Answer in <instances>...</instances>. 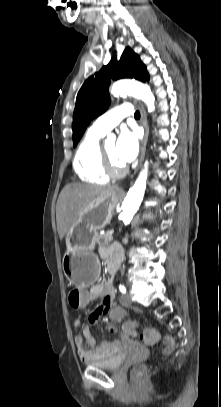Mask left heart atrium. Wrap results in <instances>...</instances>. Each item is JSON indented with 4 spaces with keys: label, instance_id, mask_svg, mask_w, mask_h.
I'll use <instances>...</instances> for the list:
<instances>
[{
    "label": "left heart atrium",
    "instance_id": "left-heart-atrium-1",
    "mask_svg": "<svg viewBox=\"0 0 221 407\" xmlns=\"http://www.w3.org/2000/svg\"><path fill=\"white\" fill-rule=\"evenodd\" d=\"M138 150V135L128 129L121 130L116 143V156L118 161L122 165L131 163L136 158Z\"/></svg>",
    "mask_w": 221,
    "mask_h": 407
}]
</instances>
